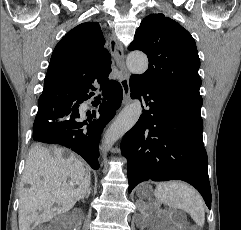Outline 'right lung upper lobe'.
<instances>
[{
  "mask_svg": "<svg viewBox=\"0 0 241 230\" xmlns=\"http://www.w3.org/2000/svg\"><path fill=\"white\" fill-rule=\"evenodd\" d=\"M97 22L82 23L69 31L56 45L39 101L60 103L88 95L95 84L104 88L109 80L111 56Z\"/></svg>",
  "mask_w": 241,
  "mask_h": 230,
  "instance_id": "cb5924a9",
  "label": "right lung upper lobe"
}]
</instances>
